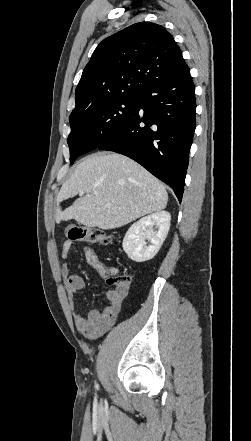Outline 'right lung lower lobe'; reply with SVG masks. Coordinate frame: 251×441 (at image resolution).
I'll use <instances>...</instances> for the list:
<instances>
[{"mask_svg": "<svg viewBox=\"0 0 251 441\" xmlns=\"http://www.w3.org/2000/svg\"><path fill=\"white\" fill-rule=\"evenodd\" d=\"M195 111V86L186 66L148 87L125 126L98 149L132 158L171 186L181 202Z\"/></svg>", "mask_w": 251, "mask_h": 441, "instance_id": "98d812e1", "label": "right lung lower lobe"}]
</instances>
